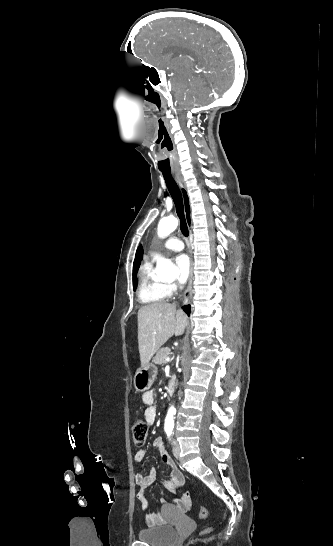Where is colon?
<instances>
[{"label":"colon","mask_w":333,"mask_h":546,"mask_svg":"<svg viewBox=\"0 0 333 546\" xmlns=\"http://www.w3.org/2000/svg\"><path fill=\"white\" fill-rule=\"evenodd\" d=\"M132 438L134 444L138 447L145 444L147 438V425L143 420L138 419L134 422L132 426ZM198 515L201 519H205L208 515L207 509L205 507H201ZM211 530L212 528H207L204 530V533H208Z\"/></svg>","instance_id":"5ec220e1"}]
</instances>
